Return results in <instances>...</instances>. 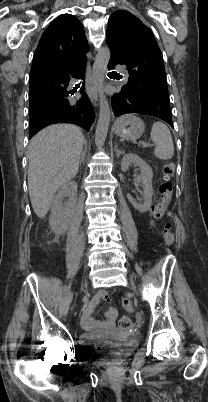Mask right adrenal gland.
Returning a JSON list of instances; mask_svg holds the SVG:
<instances>
[{
	"mask_svg": "<svg viewBox=\"0 0 208 402\" xmlns=\"http://www.w3.org/2000/svg\"><path fill=\"white\" fill-rule=\"evenodd\" d=\"M84 160H85V152H82L80 162H79L80 166H81L82 162H84Z\"/></svg>",
	"mask_w": 208,
	"mask_h": 402,
	"instance_id": "1",
	"label": "right adrenal gland"
}]
</instances>
